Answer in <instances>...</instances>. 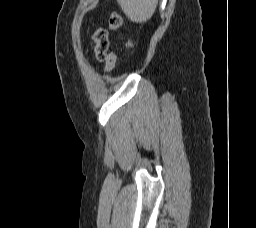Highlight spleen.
Returning <instances> with one entry per match:
<instances>
[{"label": "spleen", "mask_w": 256, "mask_h": 228, "mask_svg": "<svg viewBox=\"0 0 256 228\" xmlns=\"http://www.w3.org/2000/svg\"><path fill=\"white\" fill-rule=\"evenodd\" d=\"M125 15L135 23H144L154 14L158 0H117Z\"/></svg>", "instance_id": "spleen-1"}]
</instances>
